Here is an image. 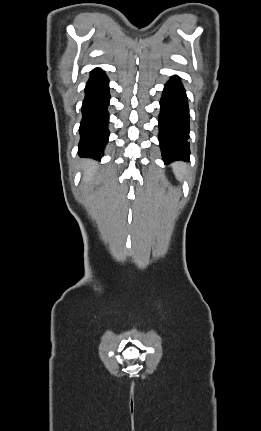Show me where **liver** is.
<instances>
[{"instance_id":"6515ba94","label":"liver","mask_w":261,"mask_h":431,"mask_svg":"<svg viewBox=\"0 0 261 431\" xmlns=\"http://www.w3.org/2000/svg\"><path fill=\"white\" fill-rule=\"evenodd\" d=\"M89 164V163H88ZM96 172V168L92 165L89 166L86 170H85V175H84V182L86 184H90L93 180H94V174Z\"/></svg>"}]
</instances>
